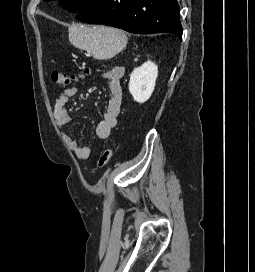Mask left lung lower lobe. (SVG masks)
Listing matches in <instances>:
<instances>
[{
    "instance_id": "left-lung-lower-lobe-1",
    "label": "left lung lower lobe",
    "mask_w": 255,
    "mask_h": 272,
    "mask_svg": "<svg viewBox=\"0 0 255 272\" xmlns=\"http://www.w3.org/2000/svg\"><path fill=\"white\" fill-rule=\"evenodd\" d=\"M75 18L135 34L171 33L181 39L183 31L177 0H98Z\"/></svg>"
}]
</instances>
